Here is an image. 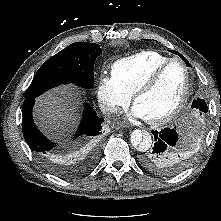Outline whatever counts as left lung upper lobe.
<instances>
[{
    "label": "left lung upper lobe",
    "instance_id": "5c2ea615",
    "mask_svg": "<svg viewBox=\"0 0 221 221\" xmlns=\"http://www.w3.org/2000/svg\"><path fill=\"white\" fill-rule=\"evenodd\" d=\"M192 108L198 109L200 112L207 113V105L203 99L194 100L192 103Z\"/></svg>",
    "mask_w": 221,
    "mask_h": 221
}]
</instances>
